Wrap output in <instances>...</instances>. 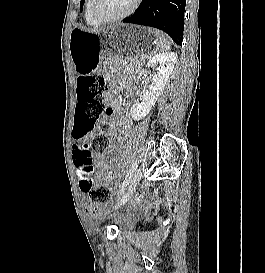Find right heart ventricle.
<instances>
[{"mask_svg":"<svg viewBox=\"0 0 265 273\" xmlns=\"http://www.w3.org/2000/svg\"><path fill=\"white\" fill-rule=\"evenodd\" d=\"M90 4H91V0H86L85 3V10H84V18L85 21L87 23V25H89L90 27H99L101 25V23H99L96 19H94V17L91 15L90 13Z\"/></svg>","mask_w":265,"mask_h":273,"instance_id":"1","label":"right heart ventricle"}]
</instances>
